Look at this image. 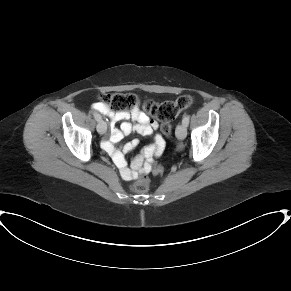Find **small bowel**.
<instances>
[{
	"mask_svg": "<svg viewBox=\"0 0 291 291\" xmlns=\"http://www.w3.org/2000/svg\"><path fill=\"white\" fill-rule=\"evenodd\" d=\"M93 108L106 115L111 122L110 138L103 142V148L112 156L122 179L131 181L149 173L152 169L153 156L160 155L165 147L164 138L159 133L154 134L159 127L158 122L149 117L144 106H135L131 110H113L102 103H95ZM130 119L135 122L134 125L128 122ZM117 122H122L119 128L114 127ZM132 132H138L143 136L153 135V143L135 158L131 167H128L124 154L131 152L138 145V141L127 143L120 149L116 148L115 144Z\"/></svg>",
	"mask_w": 291,
	"mask_h": 291,
	"instance_id": "obj_1",
	"label": "small bowel"
}]
</instances>
